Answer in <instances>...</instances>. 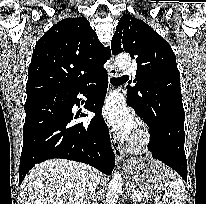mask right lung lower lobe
Returning <instances> with one entry per match:
<instances>
[{
	"mask_svg": "<svg viewBox=\"0 0 206 204\" xmlns=\"http://www.w3.org/2000/svg\"><path fill=\"white\" fill-rule=\"evenodd\" d=\"M108 87L105 69L72 91L42 92L27 96L19 183L36 164L62 158L89 164L106 175L115 165L107 125L101 116ZM78 94L89 96L86 109L96 113L89 124L75 123L86 116L72 113L80 104Z\"/></svg>",
	"mask_w": 206,
	"mask_h": 204,
	"instance_id": "98d812e1",
	"label": "right lung lower lobe"
}]
</instances>
